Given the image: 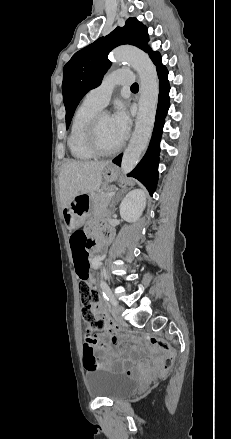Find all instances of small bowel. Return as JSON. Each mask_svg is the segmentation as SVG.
<instances>
[{"instance_id":"obj_1","label":"small bowel","mask_w":231,"mask_h":439,"mask_svg":"<svg viewBox=\"0 0 231 439\" xmlns=\"http://www.w3.org/2000/svg\"><path fill=\"white\" fill-rule=\"evenodd\" d=\"M81 234V235H85L83 232L81 231H77L76 233L73 234ZM108 235L110 236V233H108ZM73 236L71 237L70 240V245H71V250H72V256L74 259V263L76 265V267L78 266V264L80 263H87L88 260V250L91 248V245L93 242L89 241L88 242V246L86 245V243L83 241L81 243V247H80V253L77 256L76 252H75V243L73 240ZM87 241V238H86ZM95 314L97 317L104 319L108 322L109 326L113 325L110 316L104 306V304L102 302H100L96 309H95ZM107 338V340H106ZM118 343V338L109 334L107 336H96V337H92V336H88L85 338L84 344H83V352L84 355L86 354V352L91 351L93 352V354L95 355V353L97 351H99L102 354H113V349L112 346ZM101 359H103V357H100ZM107 366H109L110 368H114V369H121L122 366L120 364L119 361L115 360L112 361L111 363L107 364ZM143 371V367H139L138 369H132V368H127L126 372L128 374H141Z\"/></svg>"}]
</instances>
